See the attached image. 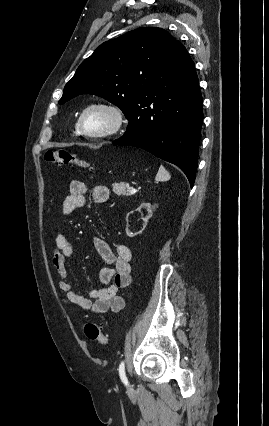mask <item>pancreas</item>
<instances>
[{"label":"pancreas","mask_w":269,"mask_h":426,"mask_svg":"<svg viewBox=\"0 0 269 426\" xmlns=\"http://www.w3.org/2000/svg\"><path fill=\"white\" fill-rule=\"evenodd\" d=\"M113 192L117 195H122V196H130V187L128 183H114L113 184Z\"/></svg>","instance_id":"cf45deb5"}]
</instances>
